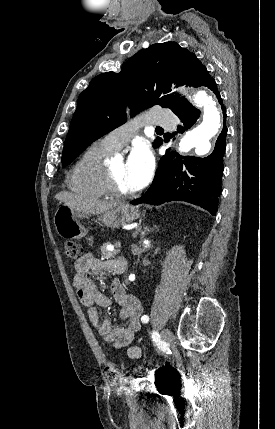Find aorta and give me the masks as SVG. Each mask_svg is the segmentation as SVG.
<instances>
[{
  "mask_svg": "<svg viewBox=\"0 0 275 429\" xmlns=\"http://www.w3.org/2000/svg\"><path fill=\"white\" fill-rule=\"evenodd\" d=\"M194 103L203 109L202 122L186 132L179 143V150L189 152L195 148L197 154H206L211 148V139L221 128L223 113L212 93L208 89L199 90L193 97ZM145 247L149 245L144 242Z\"/></svg>",
  "mask_w": 275,
  "mask_h": 429,
  "instance_id": "1",
  "label": "aorta"
}]
</instances>
